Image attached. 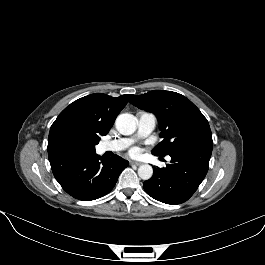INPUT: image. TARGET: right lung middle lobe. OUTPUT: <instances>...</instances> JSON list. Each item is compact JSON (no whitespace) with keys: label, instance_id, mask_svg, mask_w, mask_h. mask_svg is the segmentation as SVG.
Here are the masks:
<instances>
[{"label":"right lung middle lobe","instance_id":"right-lung-middle-lobe-1","mask_svg":"<svg viewBox=\"0 0 265 265\" xmlns=\"http://www.w3.org/2000/svg\"><path fill=\"white\" fill-rule=\"evenodd\" d=\"M99 138L79 130L64 131L59 137L61 148L83 149L95 151V145L99 143Z\"/></svg>","mask_w":265,"mask_h":265}]
</instances>
